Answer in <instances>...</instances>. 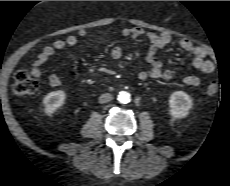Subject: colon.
Segmentation results:
<instances>
[{"mask_svg":"<svg viewBox=\"0 0 230 186\" xmlns=\"http://www.w3.org/2000/svg\"><path fill=\"white\" fill-rule=\"evenodd\" d=\"M38 87V77L28 71H19L14 76L13 93L17 97H26L34 94ZM218 91V83L209 81L206 85V93L210 96Z\"/></svg>","mask_w":230,"mask_h":186,"instance_id":"colon-1","label":"colon"}]
</instances>
